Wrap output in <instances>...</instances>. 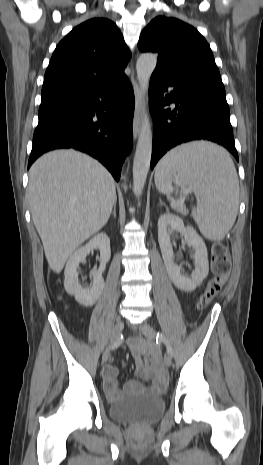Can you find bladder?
I'll return each instance as SVG.
<instances>
[{"label":"bladder","mask_w":263,"mask_h":465,"mask_svg":"<svg viewBox=\"0 0 263 465\" xmlns=\"http://www.w3.org/2000/svg\"><path fill=\"white\" fill-rule=\"evenodd\" d=\"M164 409L165 402L161 396L150 392H136L113 402L109 414L118 422L152 424L160 419Z\"/></svg>","instance_id":"obj_1"}]
</instances>
